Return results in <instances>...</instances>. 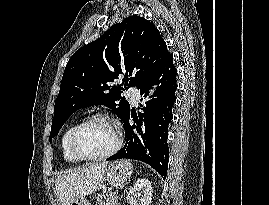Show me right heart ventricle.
<instances>
[{
  "label": "right heart ventricle",
  "instance_id": "e07e8e85",
  "mask_svg": "<svg viewBox=\"0 0 269 205\" xmlns=\"http://www.w3.org/2000/svg\"><path fill=\"white\" fill-rule=\"evenodd\" d=\"M78 124V122H74L72 123L63 133L62 137H61V150H62V155L64 157V159L69 162V163H76L79 160L72 154L71 150H70V136L71 133L73 131V129L75 128V126Z\"/></svg>",
  "mask_w": 269,
  "mask_h": 205
}]
</instances>
